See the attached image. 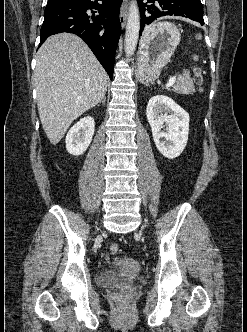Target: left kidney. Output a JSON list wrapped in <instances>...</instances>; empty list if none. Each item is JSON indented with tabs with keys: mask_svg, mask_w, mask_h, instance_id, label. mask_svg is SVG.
Wrapping results in <instances>:
<instances>
[{
	"mask_svg": "<svg viewBox=\"0 0 247 332\" xmlns=\"http://www.w3.org/2000/svg\"><path fill=\"white\" fill-rule=\"evenodd\" d=\"M146 116L160 153L169 159L178 157L187 144L189 114L171 98L157 95L149 100ZM164 123L166 129L163 131Z\"/></svg>",
	"mask_w": 247,
	"mask_h": 332,
	"instance_id": "5707ae66",
	"label": "left kidney"
}]
</instances>
